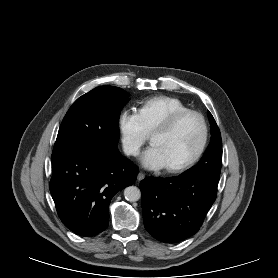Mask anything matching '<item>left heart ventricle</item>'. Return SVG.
<instances>
[{
    "label": "left heart ventricle",
    "mask_w": 278,
    "mask_h": 278,
    "mask_svg": "<svg viewBox=\"0 0 278 278\" xmlns=\"http://www.w3.org/2000/svg\"><path fill=\"white\" fill-rule=\"evenodd\" d=\"M202 128L195 117H186L172 131L155 134L151 142L160 150L166 166L179 164L197 150Z\"/></svg>",
    "instance_id": "1"
}]
</instances>
